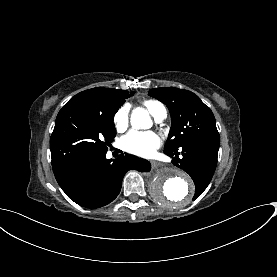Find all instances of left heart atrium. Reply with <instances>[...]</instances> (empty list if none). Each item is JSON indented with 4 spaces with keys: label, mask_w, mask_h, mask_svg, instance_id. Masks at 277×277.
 I'll use <instances>...</instances> for the list:
<instances>
[{
    "label": "left heart atrium",
    "mask_w": 277,
    "mask_h": 277,
    "mask_svg": "<svg viewBox=\"0 0 277 277\" xmlns=\"http://www.w3.org/2000/svg\"><path fill=\"white\" fill-rule=\"evenodd\" d=\"M121 147L139 156H150L160 145V139L153 132L130 131L120 142Z\"/></svg>",
    "instance_id": "left-heart-atrium-1"
}]
</instances>
